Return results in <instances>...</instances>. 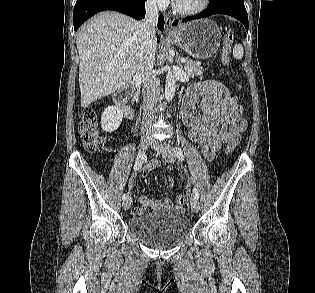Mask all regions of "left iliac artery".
<instances>
[{"label":"left iliac artery","mask_w":315,"mask_h":293,"mask_svg":"<svg viewBox=\"0 0 315 293\" xmlns=\"http://www.w3.org/2000/svg\"><path fill=\"white\" fill-rule=\"evenodd\" d=\"M174 153H175V155L177 156V158L179 160H184V153H183V151L181 150L180 147H175L174 148ZM193 197L196 198V199L199 198L198 191H197V189L195 187L193 189Z\"/></svg>","instance_id":"44dca946"}]
</instances>
